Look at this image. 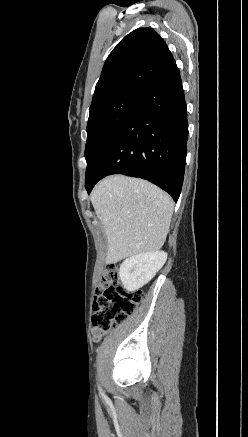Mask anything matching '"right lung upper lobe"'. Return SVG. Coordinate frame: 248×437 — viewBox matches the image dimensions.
I'll return each mask as SVG.
<instances>
[{"instance_id": "right-lung-upper-lobe-1", "label": "right lung upper lobe", "mask_w": 248, "mask_h": 437, "mask_svg": "<svg viewBox=\"0 0 248 437\" xmlns=\"http://www.w3.org/2000/svg\"><path fill=\"white\" fill-rule=\"evenodd\" d=\"M164 40L152 28L126 35L105 61L90 111L127 92H140L172 62Z\"/></svg>"}]
</instances>
